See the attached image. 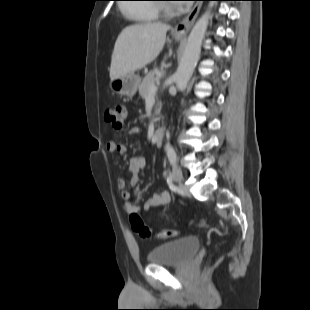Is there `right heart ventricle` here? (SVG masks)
<instances>
[{"mask_svg":"<svg viewBox=\"0 0 310 310\" xmlns=\"http://www.w3.org/2000/svg\"><path fill=\"white\" fill-rule=\"evenodd\" d=\"M123 12L140 23H149L159 17L158 5H130L123 7Z\"/></svg>","mask_w":310,"mask_h":310,"instance_id":"obj_1","label":"right heart ventricle"}]
</instances>
